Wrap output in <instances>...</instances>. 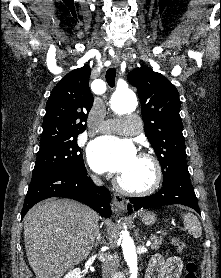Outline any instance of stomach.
I'll return each instance as SVG.
<instances>
[{
  "mask_svg": "<svg viewBox=\"0 0 221 278\" xmlns=\"http://www.w3.org/2000/svg\"><path fill=\"white\" fill-rule=\"evenodd\" d=\"M140 218L145 225H152L157 220L156 215L152 212H145L141 214Z\"/></svg>",
  "mask_w": 221,
  "mask_h": 278,
  "instance_id": "stomach-1",
  "label": "stomach"
}]
</instances>
